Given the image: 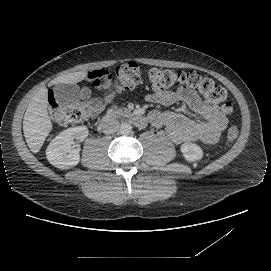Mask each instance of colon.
Instances as JSON below:
<instances>
[{
    "instance_id": "1",
    "label": "colon",
    "mask_w": 271,
    "mask_h": 271,
    "mask_svg": "<svg viewBox=\"0 0 271 271\" xmlns=\"http://www.w3.org/2000/svg\"><path fill=\"white\" fill-rule=\"evenodd\" d=\"M141 80V72L137 63L129 61L117 66L115 73L105 71L96 76L93 86L107 92H126L134 89ZM149 87L153 93L159 94L174 85L181 84L198 91L214 108L224 114L232 112L233 108L226 102L225 88L216 84L211 78L203 77L195 71H174L169 69L153 68L148 72ZM97 102L86 105L64 106L58 103L54 94H49V113L60 124L72 125L85 121L99 109ZM238 136V129L230 127L226 143L231 144Z\"/></svg>"
}]
</instances>
